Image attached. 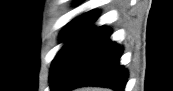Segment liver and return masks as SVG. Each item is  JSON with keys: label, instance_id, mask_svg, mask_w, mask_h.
<instances>
[{"label": "liver", "instance_id": "1", "mask_svg": "<svg viewBox=\"0 0 173 91\" xmlns=\"http://www.w3.org/2000/svg\"><path fill=\"white\" fill-rule=\"evenodd\" d=\"M77 91H109V90L97 87H84V88H79Z\"/></svg>", "mask_w": 173, "mask_h": 91}]
</instances>
